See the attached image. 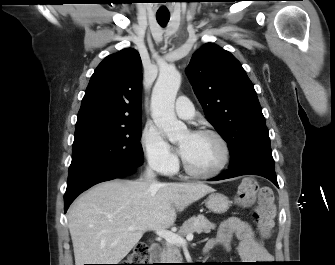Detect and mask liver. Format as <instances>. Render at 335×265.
<instances>
[{
  "label": "liver",
  "mask_w": 335,
  "mask_h": 265,
  "mask_svg": "<svg viewBox=\"0 0 335 265\" xmlns=\"http://www.w3.org/2000/svg\"><path fill=\"white\" fill-rule=\"evenodd\" d=\"M213 191L203 183L154 185L132 180L94 186L68 213L75 265L118 264L147 230L169 228L177 211Z\"/></svg>",
  "instance_id": "6515ba94"
}]
</instances>
